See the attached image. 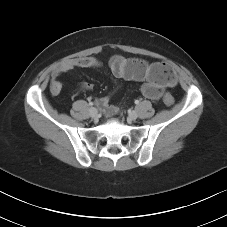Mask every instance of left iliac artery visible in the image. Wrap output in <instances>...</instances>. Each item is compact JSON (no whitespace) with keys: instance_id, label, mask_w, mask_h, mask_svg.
Returning <instances> with one entry per match:
<instances>
[{"instance_id":"left-iliac-artery-1","label":"left iliac artery","mask_w":227,"mask_h":227,"mask_svg":"<svg viewBox=\"0 0 227 227\" xmlns=\"http://www.w3.org/2000/svg\"><path fill=\"white\" fill-rule=\"evenodd\" d=\"M135 104L138 105L139 104V100H135Z\"/></svg>"}]
</instances>
